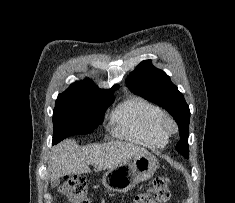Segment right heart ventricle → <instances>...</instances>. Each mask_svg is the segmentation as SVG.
<instances>
[{
  "mask_svg": "<svg viewBox=\"0 0 235 203\" xmlns=\"http://www.w3.org/2000/svg\"><path fill=\"white\" fill-rule=\"evenodd\" d=\"M162 110L140 96H131L121 102L111 114V123L117 137L149 148L167 144L168 136L156 129Z\"/></svg>",
  "mask_w": 235,
  "mask_h": 203,
  "instance_id": "e07e8e85",
  "label": "right heart ventricle"
}]
</instances>
